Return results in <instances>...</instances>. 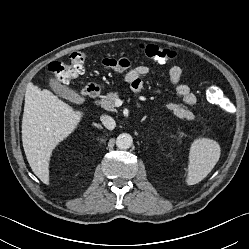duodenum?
<instances>
[{"label":"duodenum","instance_id":"obj_1","mask_svg":"<svg viewBox=\"0 0 249 249\" xmlns=\"http://www.w3.org/2000/svg\"><path fill=\"white\" fill-rule=\"evenodd\" d=\"M82 96L88 99H95L100 94V88L94 84H88L86 87L83 88L81 92Z\"/></svg>","mask_w":249,"mask_h":249}]
</instances>
